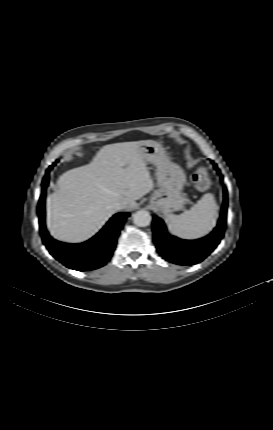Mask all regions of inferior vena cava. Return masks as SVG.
Returning a JSON list of instances; mask_svg holds the SVG:
<instances>
[{
    "label": "inferior vena cava",
    "instance_id": "602c4592",
    "mask_svg": "<svg viewBox=\"0 0 273 430\" xmlns=\"http://www.w3.org/2000/svg\"><path fill=\"white\" fill-rule=\"evenodd\" d=\"M126 206H127V201H126V200H120V201L116 202V203L113 205V207H114V209H115L116 211H118V210H122V209H125V208H126Z\"/></svg>",
    "mask_w": 273,
    "mask_h": 430
}]
</instances>
